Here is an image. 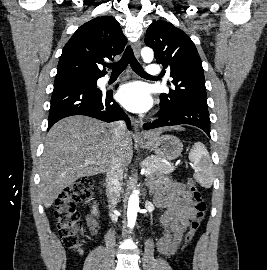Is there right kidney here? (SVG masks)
Returning <instances> with one entry per match:
<instances>
[{
	"instance_id": "obj_1",
	"label": "right kidney",
	"mask_w": 267,
	"mask_h": 270,
	"mask_svg": "<svg viewBox=\"0 0 267 270\" xmlns=\"http://www.w3.org/2000/svg\"><path fill=\"white\" fill-rule=\"evenodd\" d=\"M97 212L96 206L93 207V213L95 214Z\"/></svg>"
}]
</instances>
